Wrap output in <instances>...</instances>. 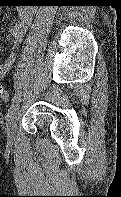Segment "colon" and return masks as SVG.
Instances as JSON below:
<instances>
[{"mask_svg": "<svg viewBox=\"0 0 121 197\" xmlns=\"http://www.w3.org/2000/svg\"><path fill=\"white\" fill-rule=\"evenodd\" d=\"M0 100L3 102H9L10 96L0 83Z\"/></svg>", "mask_w": 121, "mask_h": 197, "instance_id": "colon-1", "label": "colon"}]
</instances>
